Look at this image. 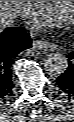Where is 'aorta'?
<instances>
[{
	"mask_svg": "<svg viewBox=\"0 0 74 122\" xmlns=\"http://www.w3.org/2000/svg\"><path fill=\"white\" fill-rule=\"evenodd\" d=\"M45 67L49 72L60 75L67 70L68 59L60 52L50 53L45 60Z\"/></svg>",
	"mask_w": 74,
	"mask_h": 122,
	"instance_id": "1",
	"label": "aorta"
}]
</instances>
